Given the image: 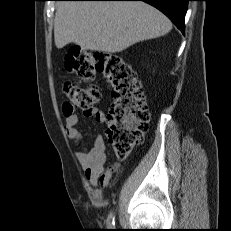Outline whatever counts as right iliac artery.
<instances>
[{
  "label": "right iliac artery",
  "instance_id": "82829eb1",
  "mask_svg": "<svg viewBox=\"0 0 231 231\" xmlns=\"http://www.w3.org/2000/svg\"><path fill=\"white\" fill-rule=\"evenodd\" d=\"M107 226L110 229L115 227V218H114V213L113 212H110L109 215H108Z\"/></svg>",
  "mask_w": 231,
  "mask_h": 231
}]
</instances>
